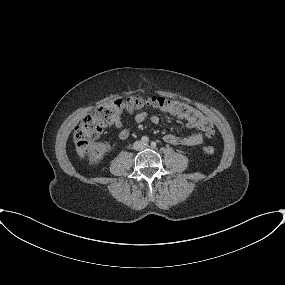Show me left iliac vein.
Returning a JSON list of instances; mask_svg holds the SVG:
<instances>
[{"label":"left iliac vein","instance_id":"4c4485c4","mask_svg":"<svg viewBox=\"0 0 285 285\" xmlns=\"http://www.w3.org/2000/svg\"><path fill=\"white\" fill-rule=\"evenodd\" d=\"M143 147H144V148H148L149 145H148V144H143Z\"/></svg>","mask_w":285,"mask_h":285}]
</instances>
